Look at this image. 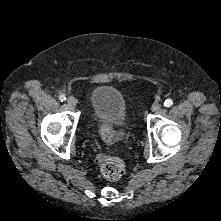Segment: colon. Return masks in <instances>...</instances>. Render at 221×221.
Masks as SVG:
<instances>
[{"instance_id":"colon-1","label":"colon","mask_w":221,"mask_h":221,"mask_svg":"<svg viewBox=\"0 0 221 221\" xmlns=\"http://www.w3.org/2000/svg\"><path fill=\"white\" fill-rule=\"evenodd\" d=\"M102 137L107 144H112L121 139L122 132H116L106 126L102 129ZM97 163L102 175L109 180H118L124 175L125 166L119 158L100 155L97 158Z\"/></svg>"}]
</instances>
